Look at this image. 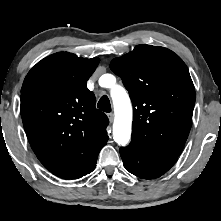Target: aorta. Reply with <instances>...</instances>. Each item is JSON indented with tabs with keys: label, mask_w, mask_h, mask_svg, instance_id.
I'll return each instance as SVG.
<instances>
[{
	"label": "aorta",
	"mask_w": 221,
	"mask_h": 221,
	"mask_svg": "<svg viewBox=\"0 0 221 221\" xmlns=\"http://www.w3.org/2000/svg\"><path fill=\"white\" fill-rule=\"evenodd\" d=\"M113 76H109V80ZM111 97L114 104L115 120L113 136L116 143L125 146L131 137L132 106L126 90L121 86H113Z\"/></svg>",
	"instance_id": "obj_1"
}]
</instances>
